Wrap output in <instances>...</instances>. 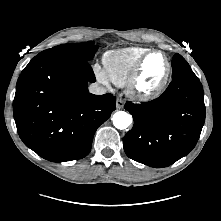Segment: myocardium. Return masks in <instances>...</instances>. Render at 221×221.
<instances>
[{
  "label": "myocardium",
  "mask_w": 221,
  "mask_h": 221,
  "mask_svg": "<svg viewBox=\"0 0 221 221\" xmlns=\"http://www.w3.org/2000/svg\"><path fill=\"white\" fill-rule=\"evenodd\" d=\"M162 54L165 58L167 69L160 80V82L151 89H145L141 87V77L143 73V68L146 60L153 54ZM172 73V63L168 55L159 49H150L147 51L137 62L136 66L133 69L132 74L129 77V80L126 84L128 92L138 100H151L158 97L166 88L169 78Z\"/></svg>",
  "instance_id": "obj_1"
}]
</instances>
